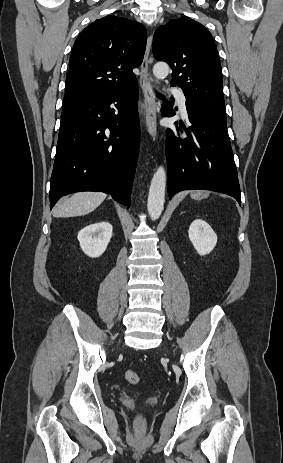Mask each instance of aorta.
Here are the masks:
<instances>
[{
	"label": "aorta",
	"instance_id": "aorta-1",
	"mask_svg": "<svg viewBox=\"0 0 283 463\" xmlns=\"http://www.w3.org/2000/svg\"><path fill=\"white\" fill-rule=\"evenodd\" d=\"M169 73V65L165 62H158L153 67V74L158 79H164ZM166 172L160 166L151 180L147 209L152 220L160 217L165 202Z\"/></svg>",
	"mask_w": 283,
	"mask_h": 463
}]
</instances>
